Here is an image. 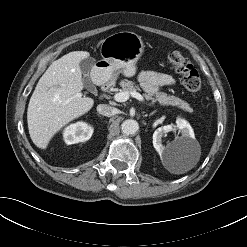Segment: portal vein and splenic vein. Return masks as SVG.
<instances>
[{
    "mask_svg": "<svg viewBox=\"0 0 247 247\" xmlns=\"http://www.w3.org/2000/svg\"><path fill=\"white\" fill-rule=\"evenodd\" d=\"M130 96L136 98L137 100L141 102L144 101V97L140 93L135 92V91L133 92L122 91V92L116 93L114 95V100L117 102H125L129 99Z\"/></svg>",
    "mask_w": 247,
    "mask_h": 247,
    "instance_id": "18ae733b",
    "label": "portal vein and splenic vein"
}]
</instances>
